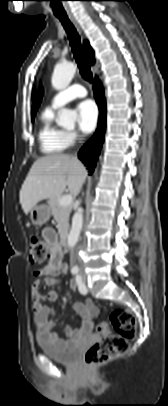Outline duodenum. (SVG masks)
Segmentation results:
<instances>
[{
	"label": "duodenum",
	"instance_id": "410a0bca",
	"mask_svg": "<svg viewBox=\"0 0 168 406\" xmlns=\"http://www.w3.org/2000/svg\"><path fill=\"white\" fill-rule=\"evenodd\" d=\"M60 245L62 248H66L68 246V234L66 232L61 235Z\"/></svg>",
	"mask_w": 168,
	"mask_h": 406
}]
</instances>
